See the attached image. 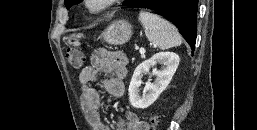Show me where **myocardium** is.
<instances>
[{"label": "myocardium", "mask_w": 257, "mask_h": 130, "mask_svg": "<svg viewBox=\"0 0 257 130\" xmlns=\"http://www.w3.org/2000/svg\"><path fill=\"white\" fill-rule=\"evenodd\" d=\"M119 1H121V0H104L100 6L93 8L91 6V0H83V5L89 13L99 14V13H102V12L106 11L107 9L111 8L115 4L119 3Z\"/></svg>", "instance_id": "f54148a6"}]
</instances>
